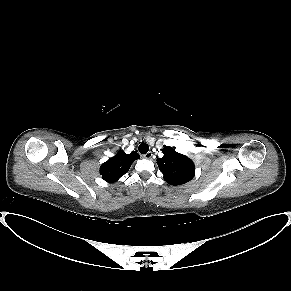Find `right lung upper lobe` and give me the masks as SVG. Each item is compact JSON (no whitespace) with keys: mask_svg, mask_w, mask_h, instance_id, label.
I'll return each instance as SVG.
<instances>
[{"mask_svg":"<svg viewBox=\"0 0 291 291\" xmlns=\"http://www.w3.org/2000/svg\"><path fill=\"white\" fill-rule=\"evenodd\" d=\"M139 159L137 152L126 154L120 150L117 155L107 160L100 167V174L106 182H116L121 176L126 174L131 164Z\"/></svg>","mask_w":291,"mask_h":291,"instance_id":"right-lung-upper-lobe-1","label":"right lung upper lobe"}]
</instances>
